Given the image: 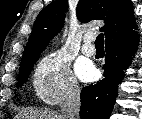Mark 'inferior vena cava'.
<instances>
[{
	"label": "inferior vena cava",
	"instance_id": "1",
	"mask_svg": "<svg viewBox=\"0 0 142 119\" xmlns=\"http://www.w3.org/2000/svg\"><path fill=\"white\" fill-rule=\"evenodd\" d=\"M80 91L72 85L61 102V112L64 119H79Z\"/></svg>",
	"mask_w": 142,
	"mask_h": 119
}]
</instances>
